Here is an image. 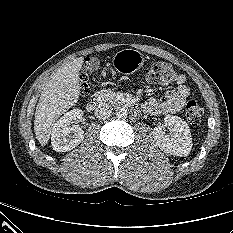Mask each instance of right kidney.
<instances>
[{
  "label": "right kidney",
  "instance_id": "ca27d5eb",
  "mask_svg": "<svg viewBox=\"0 0 233 233\" xmlns=\"http://www.w3.org/2000/svg\"><path fill=\"white\" fill-rule=\"evenodd\" d=\"M83 111L73 109L65 113L53 126L51 144L57 152H67L74 149L84 138V131L77 127H71L74 120L82 119Z\"/></svg>",
  "mask_w": 233,
  "mask_h": 233
}]
</instances>
